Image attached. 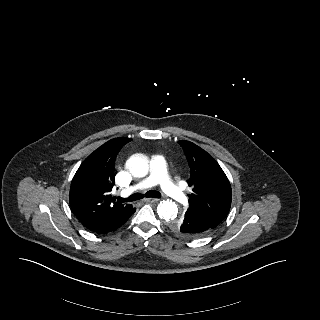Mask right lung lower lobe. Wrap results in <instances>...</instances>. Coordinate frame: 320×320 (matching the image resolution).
<instances>
[{"label":"right lung lower lobe","mask_w":320,"mask_h":320,"mask_svg":"<svg viewBox=\"0 0 320 320\" xmlns=\"http://www.w3.org/2000/svg\"><path fill=\"white\" fill-rule=\"evenodd\" d=\"M136 211L135 208H132L131 211L125 215L124 217H120L111 221H107L99 226H97L94 229H91L90 231L95 232L97 234H106L111 231H115L119 227H121L128 219L129 217Z\"/></svg>","instance_id":"obj_1"}]
</instances>
